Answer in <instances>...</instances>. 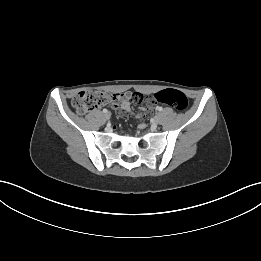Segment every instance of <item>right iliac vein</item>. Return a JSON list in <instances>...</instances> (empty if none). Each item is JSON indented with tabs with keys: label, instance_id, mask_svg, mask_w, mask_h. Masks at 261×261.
Segmentation results:
<instances>
[{
	"label": "right iliac vein",
	"instance_id": "1",
	"mask_svg": "<svg viewBox=\"0 0 261 261\" xmlns=\"http://www.w3.org/2000/svg\"><path fill=\"white\" fill-rule=\"evenodd\" d=\"M110 117H111L110 112H106V113H105V118L108 120V119H110Z\"/></svg>",
	"mask_w": 261,
	"mask_h": 261
}]
</instances>
